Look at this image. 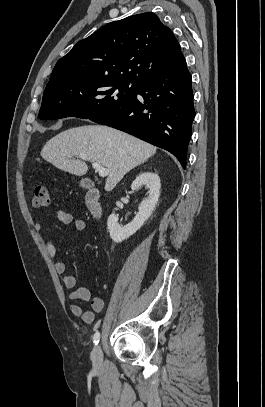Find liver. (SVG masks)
<instances>
[{
    "label": "liver",
    "mask_w": 265,
    "mask_h": 407,
    "mask_svg": "<svg viewBox=\"0 0 265 407\" xmlns=\"http://www.w3.org/2000/svg\"><path fill=\"white\" fill-rule=\"evenodd\" d=\"M156 153V147L132 135L103 125H84L65 130L51 138L41 150V156L58 169L83 176L88 171L85 162L73 159L85 155L109 170L105 190L111 191L133 168Z\"/></svg>",
    "instance_id": "liver-1"
}]
</instances>
